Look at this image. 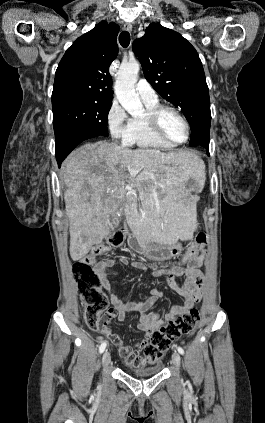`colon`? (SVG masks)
I'll list each match as a JSON object with an SVG mask.
<instances>
[{
    "mask_svg": "<svg viewBox=\"0 0 265 423\" xmlns=\"http://www.w3.org/2000/svg\"><path fill=\"white\" fill-rule=\"evenodd\" d=\"M124 240L125 234L122 230H119L107 242L92 248L88 254L72 266L73 275L78 283V294L85 305L84 320L87 326L108 336L112 335L110 323L113 318V311L109 308L106 295L100 290L101 280L92 266L98 257L107 254L112 248L121 246ZM205 243L206 235L199 233L196 242L188 248L180 262H191L197 254L203 251ZM173 266L175 265L168 267ZM198 321V310L191 309L154 331L150 341L143 345L144 361L135 366L156 364L175 339L193 332Z\"/></svg>",
    "mask_w": 265,
    "mask_h": 423,
    "instance_id": "obj_1",
    "label": "colon"
}]
</instances>
